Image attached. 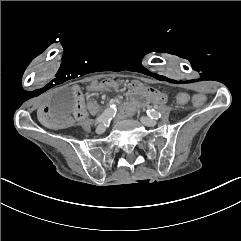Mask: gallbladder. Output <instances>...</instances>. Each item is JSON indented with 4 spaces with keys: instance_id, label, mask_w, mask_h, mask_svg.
Listing matches in <instances>:
<instances>
[{
    "instance_id": "obj_1",
    "label": "gallbladder",
    "mask_w": 241,
    "mask_h": 241,
    "mask_svg": "<svg viewBox=\"0 0 241 241\" xmlns=\"http://www.w3.org/2000/svg\"><path fill=\"white\" fill-rule=\"evenodd\" d=\"M74 93L70 89H61L52 97L53 114L57 118H66L74 112Z\"/></svg>"
}]
</instances>
